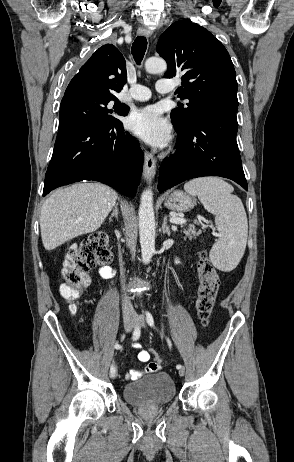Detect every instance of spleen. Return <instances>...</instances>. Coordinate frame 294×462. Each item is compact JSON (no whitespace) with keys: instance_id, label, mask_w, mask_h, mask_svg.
Here are the masks:
<instances>
[{"instance_id":"3e777b00","label":"spleen","mask_w":294,"mask_h":462,"mask_svg":"<svg viewBox=\"0 0 294 462\" xmlns=\"http://www.w3.org/2000/svg\"><path fill=\"white\" fill-rule=\"evenodd\" d=\"M184 190L197 195L204 208L215 215L220 237L210 250V260L217 269L231 271L240 262L247 243L248 222L234 188L218 177H202L185 183Z\"/></svg>"}]
</instances>
